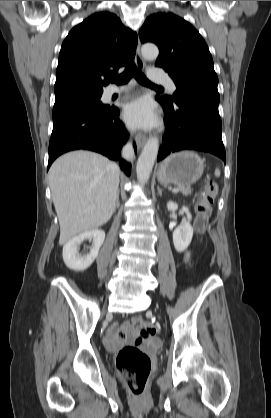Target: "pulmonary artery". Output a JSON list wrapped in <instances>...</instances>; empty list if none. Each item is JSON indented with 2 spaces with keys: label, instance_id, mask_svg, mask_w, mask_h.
Here are the masks:
<instances>
[{
  "label": "pulmonary artery",
  "instance_id": "1",
  "mask_svg": "<svg viewBox=\"0 0 271 418\" xmlns=\"http://www.w3.org/2000/svg\"><path fill=\"white\" fill-rule=\"evenodd\" d=\"M149 78L151 81L158 83V84H163L165 85L168 90L173 93L176 90V86L174 84V82L165 74L161 73L159 70L157 69H152L149 71ZM124 89L122 90H118V89H110L108 91V95H114L116 93H121L123 92Z\"/></svg>",
  "mask_w": 271,
  "mask_h": 418
}]
</instances>
